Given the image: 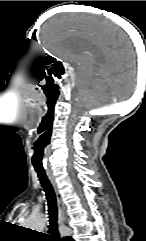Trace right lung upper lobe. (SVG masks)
I'll use <instances>...</instances> for the list:
<instances>
[{"label":"right lung upper lobe","instance_id":"obj_1","mask_svg":"<svg viewBox=\"0 0 146 241\" xmlns=\"http://www.w3.org/2000/svg\"><path fill=\"white\" fill-rule=\"evenodd\" d=\"M64 241H73V239L71 237H65Z\"/></svg>","mask_w":146,"mask_h":241}]
</instances>
